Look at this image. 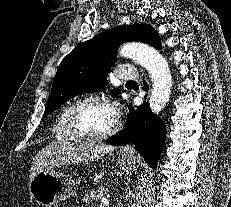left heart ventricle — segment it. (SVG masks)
Returning <instances> with one entry per match:
<instances>
[{
  "mask_svg": "<svg viewBox=\"0 0 231 207\" xmlns=\"http://www.w3.org/2000/svg\"><path fill=\"white\" fill-rule=\"evenodd\" d=\"M115 119L114 112L106 105L89 102L76 112V121L80 128L89 134L107 131Z\"/></svg>",
  "mask_w": 231,
  "mask_h": 207,
  "instance_id": "1",
  "label": "left heart ventricle"
}]
</instances>
